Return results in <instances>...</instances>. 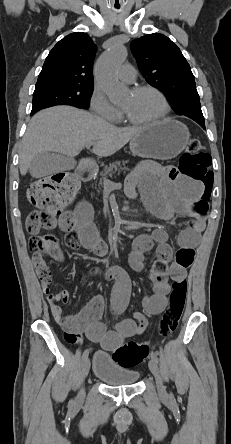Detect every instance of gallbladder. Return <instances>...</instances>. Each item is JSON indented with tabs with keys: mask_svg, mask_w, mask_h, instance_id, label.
I'll use <instances>...</instances> for the list:
<instances>
[{
	"mask_svg": "<svg viewBox=\"0 0 231 444\" xmlns=\"http://www.w3.org/2000/svg\"><path fill=\"white\" fill-rule=\"evenodd\" d=\"M70 159L64 155L54 152H43L36 155L29 168L34 178L46 177L69 169Z\"/></svg>",
	"mask_w": 231,
	"mask_h": 444,
	"instance_id": "obj_1",
	"label": "gallbladder"
}]
</instances>
